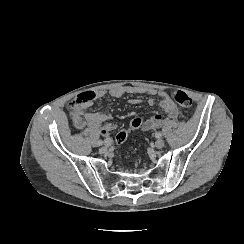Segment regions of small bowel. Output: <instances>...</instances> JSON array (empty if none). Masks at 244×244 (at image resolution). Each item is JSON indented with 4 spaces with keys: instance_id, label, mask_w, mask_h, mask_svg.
Listing matches in <instances>:
<instances>
[{
    "instance_id": "small-bowel-1",
    "label": "small bowel",
    "mask_w": 244,
    "mask_h": 244,
    "mask_svg": "<svg viewBox=\"0 0 244 244\" xmlns=\"http://www.w3.org/2000/svg\"><path fill=\"white\" fill-rule=\"evenodd\" d=\"M113 98H119L128 94H146L154 96L159 99V106L165 112L168 119H176L182 115V111L173 103L169 94L164 90L154 88H140V87H114L107 92L100 90L95 94V98L103 97L105 94ZM132 103H140L141 101L133 99ZM147 105H154L155 100L148 98L144 101ZM90 104L76 105L82 108L86 114L88 120V127L92 129L100 128L103 134H108L116 130V125L111 122V116L105 111H88ZM166 119L161 115H155L148 119H143V125L139 129L154 130L161 127L165 123Z\"/></svg>"
}]
</instances>
